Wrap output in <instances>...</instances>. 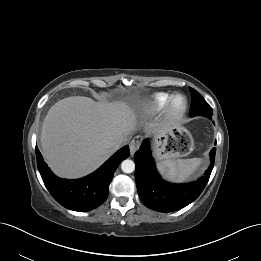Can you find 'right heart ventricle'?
Wrapping results in <instances>:
<instances>
[{
	"instance_id": "right-heart-ventricle-1",
	"label": "right heart ventricle",
	"mask_w": 261,
	"mask_h": 261,
	"mask_svg": "<svg viewBox=\"0 0 261 261\" xmlns=\"http://www.w3.org/2000/svg\"><path fill=\"white\" fill-rule=\"evenodd\" d=\"M171 96L167 93H158L153 98V105L157 108H163L167 106Z\"/></svg>"
}]
</instances>
